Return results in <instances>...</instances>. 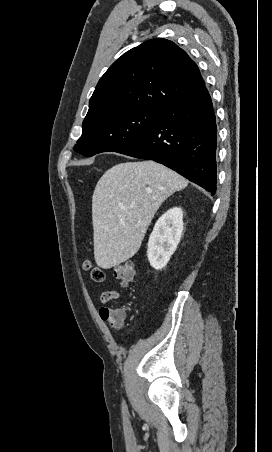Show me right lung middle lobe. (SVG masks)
<instances>
[{
    "label": "right lung middle lobe",
    "instance_id": "right-lung-middle-lobe-1",
    "mask_svg": "<svg viewBox=\"0 0 272 452\" xmlns=\"http://www.w3.org/2000/svg\"><path fill=\"white\" fill-rule=\"evenodd\" d=\"M164 111L134 108L83 121V132L74 151L91 157L128 146L158 119Z\"/></svg>",
    "mask_w": 272,
    "mask_h": 452
}]
</instances>
